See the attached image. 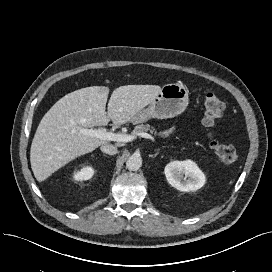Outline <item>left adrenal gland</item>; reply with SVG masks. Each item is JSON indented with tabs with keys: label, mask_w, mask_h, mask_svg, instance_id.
Returning a JSON list of instances; mask_svg holds the SVG:
<instances>
[{
	"label": "left adrenal gland",
	"mask_w": 272,
	"mask_h": 272,
	"mask_svg": "<svg viewBox=\"0 0 272 272\" xmlns=\"http://www.w3.org/2000/svg\"><path fill=\"white\" fill-rule=\"evenodd\" d=\"M158 154H159V152H156L154 155H151V157L155 158Z\"/></svg>",
	"instance_id": "obj_1"
}]
</instances>
